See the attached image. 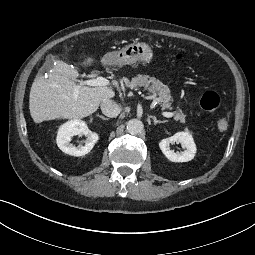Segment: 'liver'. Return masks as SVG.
<instances>
[{"label": "liver", "mask_w": 255, "mask_h": 255, "mask_svg": "<svg viewBox=\"0 0 255 255\" xmlns=\"http://www.w3.org/2000/svg\"><path fill=\"white\" fill-rule=\"evenodd\" d=\"M88 57L84 66L92 65ZM78 71L63 61L56 60L50 70L38 74L29 96L30 115L35 123L54 119H81L93 114L104 99L115 96L107 86L88 87L76 84Z\"/></svg>", "instance_id": "obj_1"}]
</instances>
